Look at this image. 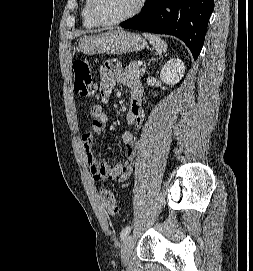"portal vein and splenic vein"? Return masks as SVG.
Listing matches in <instances>:
<instances>
[{
    "instance_id": "obj_1",
    "label": "portal vein and splenic vein",
    "mask_w": 253,
    "mask_h": 271,
    "mask_svg": "<svg viewBox=\"0 0 253 271\" xmlns=\"http://www.w3.org/2000/svg\"><path fill=\"white\" fill-rule=\"evenodd\" d=\"M137 65H138V66H141V65H142V62H141V61H138V62H137Z\"/></svg>"
}]
</instances>
